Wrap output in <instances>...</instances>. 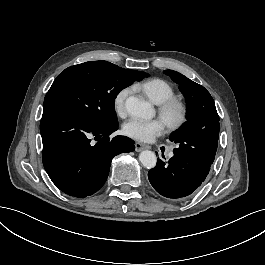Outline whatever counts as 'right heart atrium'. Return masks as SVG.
Listing matches in <instances>:
<instances>
[{
    "mask_svg": "<svg viewBox=\"0 0 265 265\" xmlns=\"http://www.w3.org/2000/svg\"><path fill=\"white\" fill-rule=\"evenodd\" d=\"M130 96V91L127 88L120 89L115 102V113L120 119H125L128 116L126 104Z\"/></svg>",
    "mask_w": 265,
    "mask_h": 265,
    "instance_id": "obj_1",
    "label": "right heart atrium"
}]
</instances>
